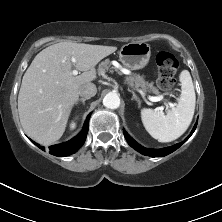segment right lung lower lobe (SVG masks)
<instances>
[{
    "mask_svg": "<svg viewBox=\"0 0 222 222\" xmlns=\"http://www.w3.org/2000/svg\"><path fill=\"white\" fill-rule=\"evenodd\" d=\"M89 117L90 114L87 116V119L85 121V125L83 130L73 139H71L68 142L58 144V145H53L50 146V154L55 155V156H68L73 153H75L85 142L86 136L88 133V122H89ZM33 142V141H32ZM37 147L40 149L44 150V147L38 145L37 143L33 142Z\"/></svg>",
    "mask_w": 222,
    "mask_h": 222,
    "instance_id": "1",
    "label": "right lung lower lobe"
}]
</instances>
